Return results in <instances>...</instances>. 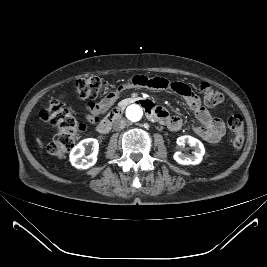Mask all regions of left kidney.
Masks as SVG:
<instances>
[{"label": "left kidney", "instance_id": "left-kidney-1", "mask_svg": "<svg viewBox=\"0 0 267 267\" xmlns=\"http://www.w3.org/2000/svg\"><path fill=\"white\" fill-rule=\"evenodd\" d=\"M186 143L194 148V155L188 156V155L181 153L180 151H177L175 152L173 156L174 160L181 165L199 164L202 161L203 156L205 154V149H204L202 142L198 140L197 138H194L189 135H185V136H181L177 138L178 145L183 146Z\"/></svg>", "mask_w": 267, "mask_h": 267}]
</instances>
